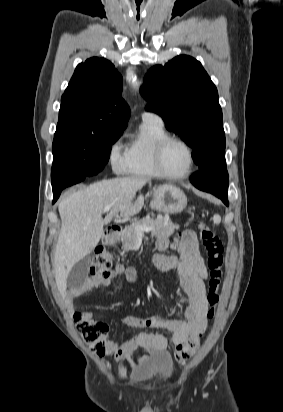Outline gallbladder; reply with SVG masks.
I'll return each instance as SVG.
<instances>
[{"mask_svg": "<svg viewBox=\"0 0 283 412\" xmlns=\"http://www.w3.org/2000/svg\"><path fill=\"white\" fill-rule=\"evenodd\" d=\"M89 265L90 256H86L74 264L67 277L68 288L75 289L83 284L88 276Z\"/></svg>", "mask_w": 283, "mask_h": 412, "instance_id": "obj_1", "label": "gallbladder"}]
</instances>
